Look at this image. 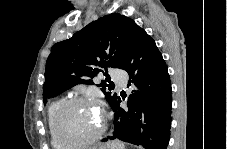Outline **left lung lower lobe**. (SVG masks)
<instances>
[{"label": "left lung lower lobe", "instance_id": "0a47b994", "mask_svg": "<svg viewBox=\"0 0 227 149\" xmlns=\"http://www.w3.org/2000/svg\"><path fill=\"white\" fill-rule=\"evenodd\" d=\"M123 70L137 90L128 98V109L120 107V96L111 105L114 131L102 141L119 139L145 149H166L172 121L171 80L155 41L140 27L133 35Z\"/></svg>", "mask_w": 227, "mask_h": 149}]
</instances>
